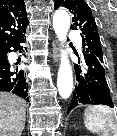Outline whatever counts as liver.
Masks as SVG:
<instances>
[{"label": "liver", "instance_id": "liver-1", "mask_svg": "<svg viewBox=\"0 0 117 136\" xmlns=\"http://www.w3.org/2000/svg\"><path fill=\"white\" fill-rule=\"evenodd\" d=\"M26 102L12 93L0 92V136H21L26 121Z\"/></svg>", "mask_w": 117, "mask_h": 136}]
</instances>
